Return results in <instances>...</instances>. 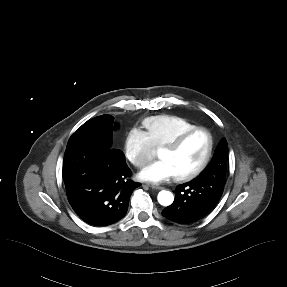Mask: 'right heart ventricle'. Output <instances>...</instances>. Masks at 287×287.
Listing matches in <instances>:
<instances>
[{"instance_id":"1","label":"right heart ventricle","mask_w":287,"mask_h":287,"mask_svg":"<svg viewBox=\"0 0 287 287\" xmlns=\"http://www.w3.org/2000/svg\"><path fill=\"white\" fill-rule=\"evenodd\" d=\"M145 134L154 147H161L176 139L182 133L196 127L187 118L161 114L147 117L142 121Z\"/></svg>"}]
</instances>
